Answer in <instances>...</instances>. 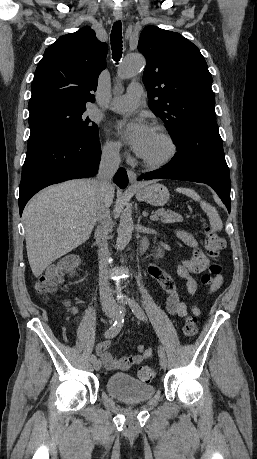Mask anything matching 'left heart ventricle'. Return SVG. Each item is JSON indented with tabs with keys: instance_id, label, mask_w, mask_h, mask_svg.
<instances>
[{
	"instance_id": "left-heart-ventricle-1",
	"label": "left heart ventricle",
	"mask_w": 257,
	"mask_h": 459,
	"mask_svg": "<svg viewBox=\"0 0 257 459\" xmlns=\"http://www.w3.org/2000/svg\"><path fill=\"white\" fill-rule=\"evenodd\" d=\"M169 151V146L163 137L153 129V134L147 149L142 157L149 160H158L163 158Z\"/></svg>"
}]
</instances>
